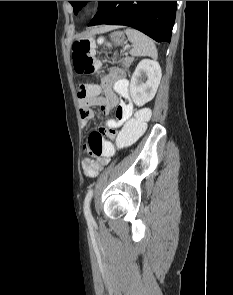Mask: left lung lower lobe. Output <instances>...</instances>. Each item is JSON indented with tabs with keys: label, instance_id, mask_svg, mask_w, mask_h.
Returning a JSON list of instances; mask_svg holds the SVG:
<instances>
[{
	"label": "left lung lower lobe",
	"instance_id": "0a47b994",
	"mask_svg": "<svg viewBox=\"0 0 233 295\" xmlns=\"http://www.w3.org/2000/svg\"><path fill=\"white\" fill-rule=\"evenodd\" d=\"M175 13L176 1H101L88 26L126 25L158 42H170Z\"/></svg>",
	"mask_w": 233,
	"mask_h": 295
}]
</instances>
